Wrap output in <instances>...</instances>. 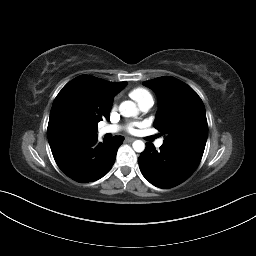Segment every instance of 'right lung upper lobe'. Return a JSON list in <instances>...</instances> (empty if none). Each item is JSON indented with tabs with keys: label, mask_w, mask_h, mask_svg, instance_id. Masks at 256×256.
<instances>
[{
	"label": "right lung upper lobe",
	"mask_w": 256,
	"mask_h": 256,
	"mask_svg": "<svg viewBox=\"0 0 256 256\" xmlns=\"http://www.w3.org/2000/svg\"><path fill=\"white\" fill-rule=\"evenodd\" d=\"M127 82H109L81 75L67 83L55 98L47 128L50 147L78 136L97 133V124L109 120L113 97Z\"/></svg>",
	"instance_id": "obj_1"
}]
</instances>
